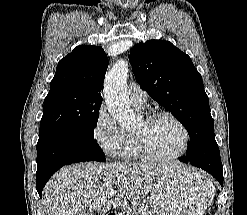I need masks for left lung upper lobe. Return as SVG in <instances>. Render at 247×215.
Masks as SVG:
<instances>
[{
    "label": "left lung upper lobe",
    "instance_id": "left-lung-upper-lobe-1",
    "mask_svg": "<svg viewBox=\"0 0 247 215\" xmlns=\"http://www.w3.org/2000/svg\"><path fill=\"white\" fill-rule=\"evenodd\" d=\"M129 60L136 81L180 121L190 136L187 155L194 145L215 140L214 121L200 73L190 57L164 40L136 44Z\"/></svg>",
    "mask_w": 247,
    "mask_h": 215
}]
</instances>
